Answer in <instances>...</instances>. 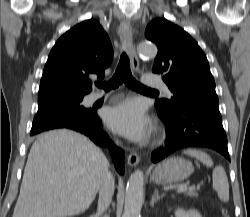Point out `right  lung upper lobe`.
<instances>
[{"label": "right lung upper lobe", "instance_id": "right-lung-upper-lobe-1", "mask_svg": "<svg viewBox=\"0 0 250 217\" xmlns=\"http://www.w3.org/2000/svg\"><path fill=\"white\" fill-rule=\"evenodd\" d=\"M113 49L101 25L92 19L71 28L55 43L44 67L38 108L81 99L92 90L90 75L104 77Z\"/></svg>", "mask_w": 250, "mask_h": 217}]
</instances>
